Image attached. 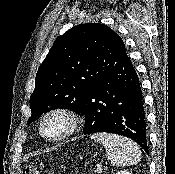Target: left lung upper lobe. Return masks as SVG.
Masks as SVG:
<instances>
[{
	"instance_id": "left-lung-upper-lobe-1",
	"label": "left lung upper lobe",
	"mask_w": 175,
	"mask_h": 174,
	"mask_svg": "<svg viewBox=\"0 0 175 174\" xmlns=\"http://www.w3.org/2000/svg\"><path fill=\"white\" fill-rule=\"evenodd\" d=\"M124 51L121 37L103 24H80L60 36L37 71L28 124L56 108L81 113Z\"/></svg>"
}]
</instances>
